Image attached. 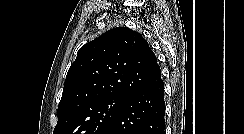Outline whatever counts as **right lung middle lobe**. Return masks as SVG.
<instances>
[{"label":"right lung middle lobe","mask_w":244,"mask_h":134,"mask_svg":"<svg viewBox=\"0 0 244 134\" xmlns=\"http://www.w3.org/2000/svg\"><path fill=\"white\" fill-rule=\"evenodd\" d=\"M128 101L110 97L87 104L70 116L59 119L53 134H101L118 116Z\"/></svg>","instance_id":"dd1d6c3e"}]
</instances>
